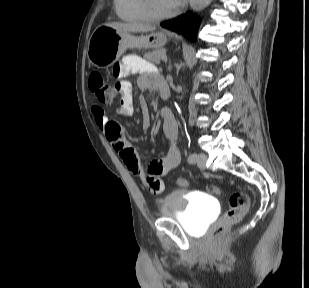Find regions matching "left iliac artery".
<instances>
[{"label":"left iliac artery","mask_w":309,"mask_h":288,"mask_svg":"<svg viewBox=\"0 0 309 288\" xmlns=\"http://www.w3.org/2000/svg\"><path fill=\"white\" fill-rule=\"evenodd\" d=\"M196 160H197V155H196V153H192V154L189 155V157H188V162H189V163H195Z\"/></svg>","instance_id":"44dca946"}]
</instances>
